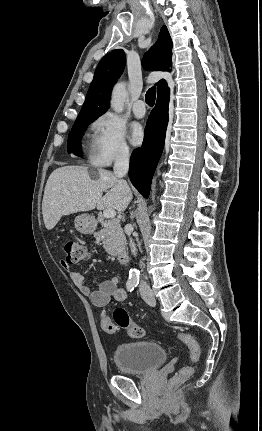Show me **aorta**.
<instances>
[{
  "label": "aorta",
  "mask_w": 262,
  "mask_h": 431,
  "mask_svg": "<svg viewBox=\"0 0 262 431\" xmlns=\"http://www.w3.org/2000/svg\"><path fill=\"white\" fill-rule=\"evenodd\" d=\"M127 97L126 85L125 83H117L112 91L110 106L111 108L120 113L124 110V102ZM139 279V272L136 268H132L129 272V281L136 283Z\"/></svg>",
  "instance_id": "obj_1"
}]
</instances>
